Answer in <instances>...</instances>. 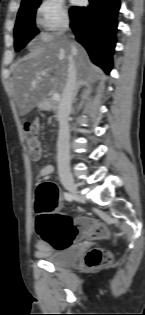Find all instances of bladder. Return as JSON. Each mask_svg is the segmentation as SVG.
<instances>
[{
  "label": "bladder",
  "instance_id": "obj_1",
  "mask_svg": "<svg viewBox=\"0 0 145 315\" xmlns=\"http://www.w3.org/2000/svg\"><path fill=\"white\" fill-rule=\"evenodd\" d=\"M76 249L79 248H62L55 251L47 258V262L55 267L68 268L75 265L78 261Z\"/></svg>",
  "mask_w": 145,
  "mask_h": 315
}]
</instances>
